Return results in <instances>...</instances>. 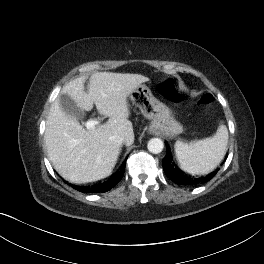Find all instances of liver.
I'll return each instance as SVG.
<instances>
[{
  "instance_id": "liver-1",
  "label": "liver",
  "mask_w": 264,
  "mask_h": 264,
  "mask_svg": "<svg viewBox=\"0 0 264 264\" xmlns=\"http://www.w3.org/2000/svg\"><path fill=\"white\" fill-rule=\"evenodd\" d=\"M85 77L66 84L61 94L69 95L84 111H97L109 120L93 129H84L77 119L67 116L59 98L51 105L46 121L45 145L55 170L66 180L88 183L108 177L115 167L121 145L110 137L122 136L126 145L134 141L133 125L127 96L140 84L149 81L140 74L97 72L89 78V91H84Z\"/></svg>"
}]
</instances>
